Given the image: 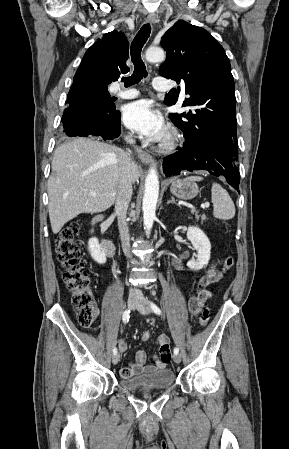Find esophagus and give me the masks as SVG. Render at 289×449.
Masks as SVG:
<instances>
[{"mask_svg":"<svg viewBox=\"0 0 289 449\" xmlns=\"http://www.w3.org/2000/svg\"><path fill=\"white\" fill-rule=\"evenodd\" d=\"M147 22L151 23V24H154L156 22V15L155 14H149L147 16ZM136 153H137V156L139 157V159L142 160L145 163H150L153 160L152 156L148 152H146V151H144V150H142L140 148L136 149Z\"/></svg>","mask_w":289,"mask_h":449,"instance_id":"obj_1","label":"esophagus"}]
</instances>
